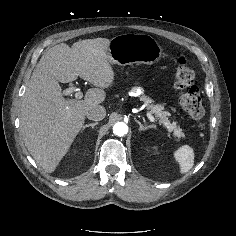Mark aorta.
<instances>
[{"instance_id": "obj_1", "label": "aorta", "mask_w": 236, "mask_h": 236, "mask_svg": "<svg viewBox=\"0 0 236 236\" xmlns=\"http://www.w3.org/2000/svg\"><path fill=\"white\" fill-rule=\"evenodd\" d=\"M128 132V126L124 122H117L113 127V133L117 136H124Z\"/></svg>"}]
</instances>
